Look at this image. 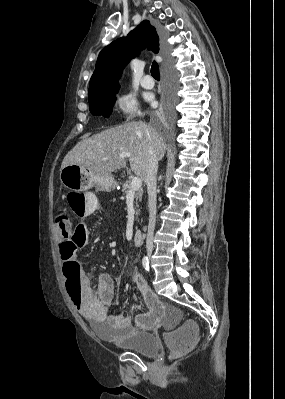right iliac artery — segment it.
<instances>
[{"mask_svg": "<svg viewBox=\"0 0 285 399\" xmlns=\"http://www.w3.org/2000/svg\"><path fill=\"white\" fill-rule=\"evenodd\" d=\"M142 265L145 268V270H149V259L147 256H145L142 260Z\"/></svg>", "mask_w": 285, "mask_h": 399, "instance_id": "right-iliac-artery-1", "label": "right iliac artery"}]
</instances>
